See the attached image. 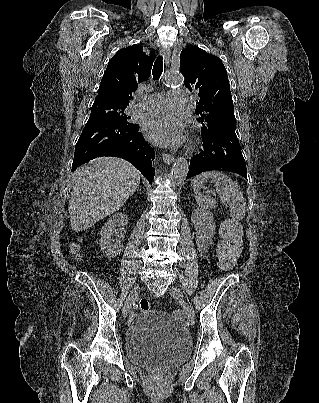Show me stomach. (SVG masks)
Returning <instances> with one entry per match:
<instances>
[{
  "mask_svg": "<svg viewBox=\"0 0 319 403\" xmlns=\"http://www.w3.org/2000/svg\"><path fill=\"white\" fill-rule=\"evenodd\" d=\"M202 184H203L202 181H198V182H197V185H198V186H202Z\"/></svg>",
  "mask_w": 319,
  "mask_h": 403,
  "instance_id": "1",
  "label": "stomach"
}]
</instances>
